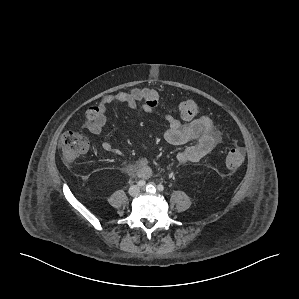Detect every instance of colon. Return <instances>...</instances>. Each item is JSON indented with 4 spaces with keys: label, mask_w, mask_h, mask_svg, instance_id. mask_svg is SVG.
<instances>
[{
    "label": "colon",
    "mask_w": 299,
    "mask_h": 299,
    "mask_svg": "<svg viewBox=\"0 0 299 299\" xmlns=\"http://www.w3.org/2000/svg\"><path fill=\"white\" fill-rule=\"evenodd\" d=\"M141 96L149 106H157L160 101L159 92L152 87H143L140 89ZM199 105L193 99L187 98L180 102L179 112L184 120H191L198 116ZM99 109L96 106L90 107L85 115L86 121L92 123L96 120ZM88 149V140L86 136L77 131L66 132L61 139V153L64 161L73 162L82 156ZM245 160L244 151L240 148H234L225 155V165L229 169L239 168Z\"/></svg>",
    "instance_id": "1"
}]
</instances>
